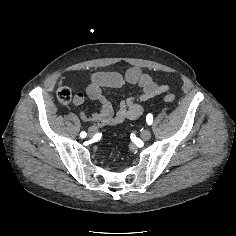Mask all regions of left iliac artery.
Returning a JSON list of instances; mask_svg holds the SVG:
<instances>
[{"instance_id": "44dca946", "label": "left iliac artery", "mask_w": 236, "mask_h": 236, "mask_svg": "<svg viewBox=\"0 0 236 236\" xmlns=\"http://www.w3.org/2000/svg\"><path fill=\"white\" fill-rule=\"evenodd\" d=\"M146 121H147L148 125H151V124H152V122H153V116H152V114H148V115H147Z\"/></svg>"}]
</instances>
